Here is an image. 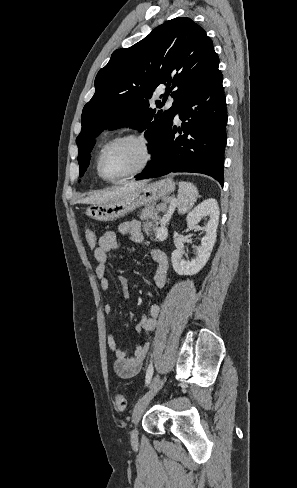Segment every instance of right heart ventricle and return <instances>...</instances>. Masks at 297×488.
Here are the masks:
<instances>
[{"instance_id":"e07e8e85","label":"right heart ventricle","mask_w":297,"mask_h":488,"mask_svg":"<svg viewBox=\"0 0 297 488\" xmlns=\"http://www.w3.org/2000/svg\"><path fill=\"white\" fill-rule=\"evenodd\" d=\"M107 142H108V141L103 142V143H102V145L99 147V149H98V151H97V155H96V164H97V159H98V156H99V154H100V151H101V149L103 148V146H104V145H105ZM97 173H98V170H97ZM98 175H99V173H98ZM99 176H100V175H99Z\"/></svg>"}]
</instances>
